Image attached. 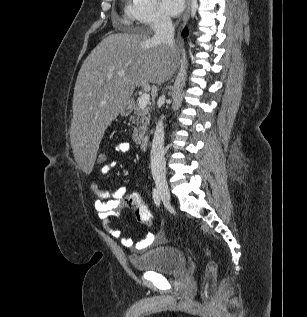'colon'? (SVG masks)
Listing matches in <instances>:
<instances>
[{
    "mask_svg": "<svg viewBox=\"0 0 307 317\" xmlns=\"http://www.w3.org/2000/svg\"><path fill=\"white\" fill-rule=\"evenodd\" d=\"M95 162L100 167L104 166L107 162L106 152L98 151ZM122 205L134 211L135 218L139 223L148 226L152 225V214L139 193H132L127 195L124 198ZM215 273L216 264L213 261H210L206 267V276L203 283L204 292L208 291L210 283L215 276Z\"/></svg>",
    "mask_w": 307,
    "mask_h": 317,
    "instance_id": "colon-1",
    "label": "colon"
}]
</instances>
